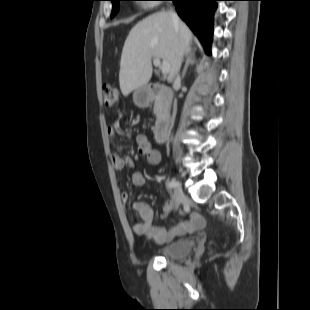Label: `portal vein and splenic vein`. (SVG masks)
<instances>
[{
	"instance_id": "obj_1",
	"label": "portal vein and splenic vein",
	"mask_w": 310,
	"mask_h": 310,
	"mask_svg": "<svg viewBox=\"0 0 310 310\" xmlns=\"http://www.w3.org/2000/svg\"><path fill=\"white\" fill-rule=\"evenodd\" d=\"M153 63L155 66L160 67L162 74L166 75L169 73L170 65L168 62L163 61V63L161 64L160 59L155 58L153 60Z\"/></svg>"
}]
</instances>
